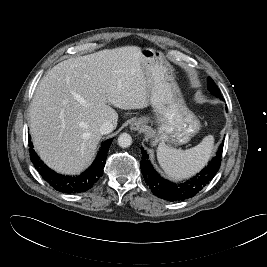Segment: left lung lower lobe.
<instances>
[{
  "mask_svg": "<svg viewBox=\"0 0 267 267\" xmlns=\"http://www.w3.org/2000/svg\"><path fill=\"white\" fill-rule=\"evenodd\" d=\"M222 100L224 99L222 98ZM222 151L223 144L220 145L216 156L205 169L196 177L183 183H171L162 178L150 164L149 157L143 148H141L142 161L140 167L147 185L156 196L168 201H183L195 196L214 178L220 168Z\"/></svg>",
  "mask_w": 267,
  "mask_h": 267,
  "instance_id": "0a47b994",
  "label": "left lung lower lobe"
}]
</instances>
